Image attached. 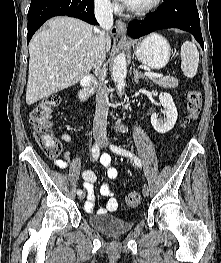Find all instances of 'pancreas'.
Returning <instances> with one entry per match:
<instances>
[{"mask_svg":"<svg viewBox=\"0 0 221 263\" xmlns=\"http://www.w3.org/2000/svg\"><path fill=\"white\" fill-rule=\"evenodd\" d=\"M156 85L162 86L164 88H175L178 86V80L174 77H163V78H152L149 77Z\"/></svg>","mask_w":221,"mask_h":263,"instance_id":"pancreas-1","label":"pancreas"}]
</instances>
